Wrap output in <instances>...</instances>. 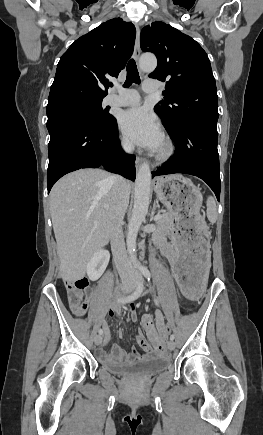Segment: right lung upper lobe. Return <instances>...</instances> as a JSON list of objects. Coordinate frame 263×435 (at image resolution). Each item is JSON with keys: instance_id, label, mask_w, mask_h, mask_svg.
<instances>
[{"instance_id": "1", "label": "right lung upper lobe", "mask_w": 263, "mask_h": 435, "mask_svg": "<svg viewBox=\"0 0 263 435\" xmlns=\"http://www.w3.org/2000/svg\"><path fill=\"white\" fill-rule=\"evenodd\" d=\"M135 36L132 23L114 18L77 39L60 58L47 106L103 99L109 79L118 77L132 55Z\"/></svg>"}]
</instances>
